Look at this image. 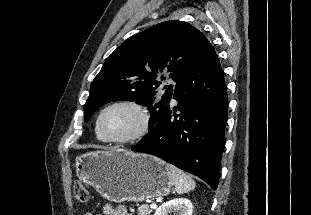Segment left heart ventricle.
Masks as SVG:
<instances>
[{"label":"left heart ventricle","mask_w":311,"mask_h":215,"mask_svg":"<svg viewBox=\"0 0 311 215\" xmlns=\"http://www.w3.org/2000/svg\"><path fill=\"white\" fill-rule=\"evenodd\" d=\"M140 124V114L128 106L110 108L102 118L103 132L105 135L114 138H122L133 134Z\"/></svg>","instance_id":"obj_1"}]
</instances>
